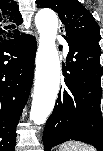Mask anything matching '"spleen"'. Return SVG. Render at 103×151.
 <instances>
[{"instance_id": "3e777b00", "label": "spleen", "mask_w": 103, "mask_h": 151, "mask_svg": "<svg viewBox=\"0 0 103 151\" xmlns=\"http://www.w3.org/2000/svg\"><path fill=\"white\" fill-rule=\"evenodd\" d=\"M59 151H96L92 146L87 144L76 142V141H69L63 143L59 147Z\"/></svg>"}]
</instances>
